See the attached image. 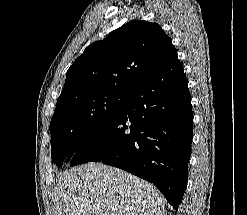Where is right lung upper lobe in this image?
I'll use <instances>...</instances> for the list:
<instances>
[{
    "mask_svg": "<svg viewBox=\"0 0 247 215\" xmlns=\"http://www.w3.org/2000/svg\"><path fill=\"white\" fill-rule=\"evenodd\" d=\"M157 23L133 20L89 45L68 69L62 102L97 93L132 94L175 52ZM56 106V107H57Z\"/></svg>",
    "mask_w": 247,
    "mask_h": 215,
    "instance_id": "obj_1",
    "label": "right lung upper lobe"
}]
</instances>
